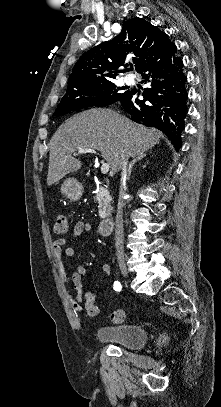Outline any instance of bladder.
I'll return each mask as SVG.
<instances>
[{
  "mask_svg": "<svg viewBox=\"0 0 221 407\" xmlns=\"http://www.w3.org/2000/svg\"><path fill=\"white\" fill-rule=\"evenodd\" d=\"M95 338L130 350L142 349L149 340V331L141 325H112L99 327Z\"/></svg>",
  "mask_w": 221,
  "mask_h": 407,
  "instance_id": "obj_1",
  "label": "bladder"
}]
</instances>
